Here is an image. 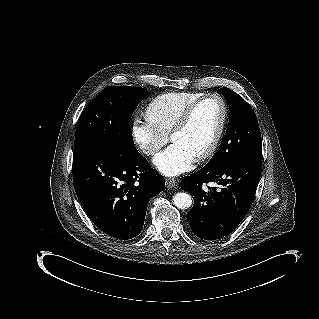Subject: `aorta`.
<instances>
[{"label": "aorta", "instance_id": "aorta-1", "mask_svg": "<svg viewBox=\"0 0 319 319\" xmlns=\"http://www.w3.org/2000/svg\"><path fill=\"white\" fill-rule=\"evenodd\" d=\"M173 202L177 208L184 210L192 206L193 199L188 193H177L173 197Z\"/></svg>", "mask_w": 319, "mask_h": 319}]
</instances>
